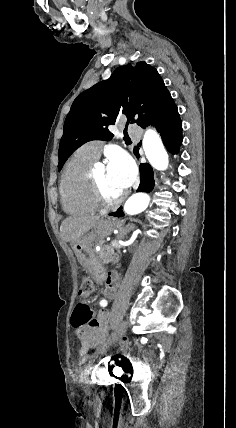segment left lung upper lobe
Masks as SVG:
<instances>
[{
  "mask_svg": "<svg viewBox=\"0 0 236 428\" xmlns=\"http://www.w3.org/2000/svg\"><path fill=\"white\" fill-rule=\"evenodd\" d=\"M173 99L157 70L146 62L118 67L108 80L81 93L68 113L59 144L58 171L68 157L91 140H111L118 116L143 126ZM128 124V123H127Z\"/></svg>",
  "mask_w": 236,
  "mask_h": 428,
  "instance_id": "1",
  "label": "left lung upper lobe"
}]
</instances>
